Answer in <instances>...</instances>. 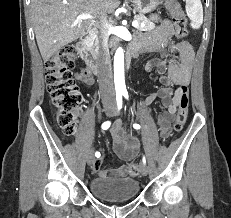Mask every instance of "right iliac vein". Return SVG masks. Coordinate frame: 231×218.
<instances>
[{
    "label": "right iliac vein",
    "mask_w": 231,
    "mask_h": 218,
    "mask_svg": "<svg viewBox=\"0 0 231 218\" xmlns=\"http://www.w3.org/2000/svg\"><path fill=\"white\" fill-rule=\"evenodd\" d=\"M104 112L107 116H110L114 113V107L112 105H105ZM95 161L94 150H90L87 155V163L91 165Z\"/></svg>",
    "instance_id": "1"
}]
</instances>
